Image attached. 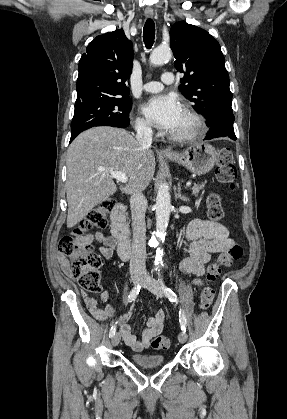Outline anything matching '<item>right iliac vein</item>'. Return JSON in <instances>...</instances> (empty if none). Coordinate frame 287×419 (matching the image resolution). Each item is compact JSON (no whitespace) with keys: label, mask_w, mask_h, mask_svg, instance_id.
I'll use <instances>...</instances> for the list:
<instances>
[{"label":"right iliac vein","mask_w":287,"mask_h":419,"mask_svg":"<svg viewBox=\"0 0 287 419\" xmlns=\"http://www.w3.org/2000/svg\"><path fill=\"white\" fill-rule=\"evenodd\" d=\"M142 281V278L139 276H133L132 277V282L136 285L139 284ZM121 339V335L120 333H116L115 335H113L112 337V345L113 346H117L120 342Z\"/></svg>","instance_id":"1"}]
</instances>
